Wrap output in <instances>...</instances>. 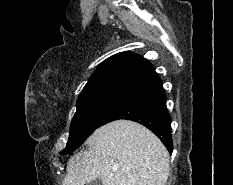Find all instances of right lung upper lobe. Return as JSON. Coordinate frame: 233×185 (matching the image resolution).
Returning a JSON list of instances; mask_svg holds the SVG:
<instances>
[{
    "label": "right lung upper lobe",
    "mask_w": 233,
    "mask_h": 185,
    "mask_svg": "<svg viewBox=\"0 0 233 185\" xmlns=\"http://www.w3.org/2000/svg\"><path fill=\"white\" fill-rule=\"evenodd\" d=\"M156 75L153 65L143 57L121 52L100 64L81 94L110 88L132 90Z\"/></svg>",
    "instance_id": "obj_1"
}]
</instances>
